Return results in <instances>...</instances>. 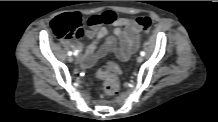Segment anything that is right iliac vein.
I'll return each mask as SVG.
<instances>
[{
	"instance_id": "obj_1",
	"label": "right iliac vein",
	"mask_w": 218,
	"mask_h": 122,
	"mask_svg": "<svg viewBox=\"0 0 218 122\" xmlns=\"http://www.w3.org/2000/svg\"><path fill=\"white\" fill-rule=\"evenodd\" d=\"M68 61H69V62H73V61H74V58H73L72 56H69Z\"/></svg>"
}]
</instances>
